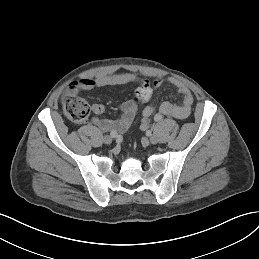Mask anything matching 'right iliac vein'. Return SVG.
Listing matches in <instances>:
<instances>
[{
  "label": "right iliac vein",
  "instance_id": "obj_1",
  "mask_svg": "<svg viewBox=\"0 0 259 259\" xmlns=\"http://www.w3.org/2000/svg\"><path fill=\"white\" fill-rule=\"evenodd\" d=\"M112 137L109 135L104 136L103 141L105 144H111L112 143Z\"/></svg>",
  "mask_w": 259,
  "mask_h": 259
}]
</instances>
